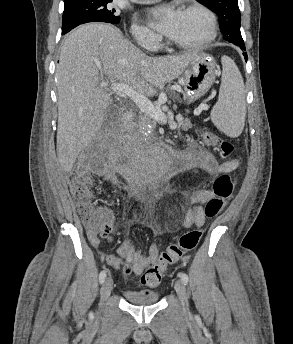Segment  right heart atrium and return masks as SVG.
Wrapping results in <instances>:
<instances>
[{"label":"right heart atrium","instance_id":"right-heart-atrium-1","mask_svg":"<svg viewBox=\"0 0 293 344\" xmlns=\"http://www.w3.org/2000/svg\"><path fill=\"white\" fill-rule=\"evenodd\" d=\"M130 34L135 43L146 50H154L161 44V38L157 34L137 23L131 25Z\"/></svg>","mask_w":293,"mask_h":344}]
</instances>
